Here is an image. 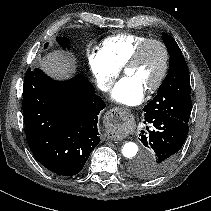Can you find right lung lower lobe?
Returning <instances> with one entry per match:
<instances>
[{"label":"right lung lower lobe","instance_id":"98d812e1","mask_svg":"<svg viewBox=\"0 0 211 211\" xmlns=\"http://www.w3.org/2000/svg\"><path fill=\"white\" fill-rule=\"evenodd\" d=\"M26 139L35 158L63 176L79 173L100 142L98 115L105 103L83 77L59 82L28 69L23 84Z\"/></svg>","mask_w":211,"mask_h":211}]
</instances>
